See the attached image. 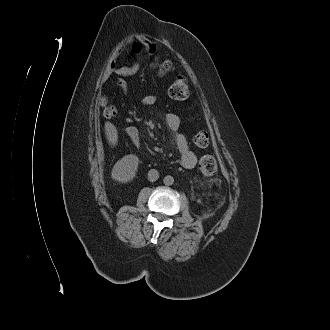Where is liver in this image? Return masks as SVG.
Listing matches in <instances>:
<instances>
[{
	"mask_svg": "<svg viewBox=\"0 0 330 330\" xmlns=\"http://www.w3.org/2000/svg\"><path fill=\"white\" fill-rule=\"evenodd\" d=\"M105 132H106V136H107L109 143H111L112 145H115L118 140V134H117L116 127L112 123L106 122L105 123Z\"/></svg>",
	"mask_w": 330,
	"mask_h": 330,
	"instance_id": "6515ba94",
	"label": "liver"
}]
</instances>
